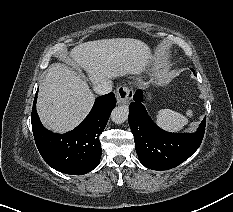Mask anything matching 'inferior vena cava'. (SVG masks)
Masks as SVG:
<instances>
[{"instance_id": "602c4592", "label": "inferior vena cava", "mask_w": 233, "mask_h": 212, "mask_svg": "<svg viewBox=\"0 0 233 212\" xmlns=\"http://www.w3.org/2000/svg\"><path fill=\"white\" fill-rule=\"evenodd\" d=\"M94 91L99 95H105L111 92L112 83L110 80H102L94 86Z\"/></svg>"}]
</instances>
